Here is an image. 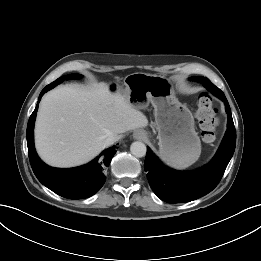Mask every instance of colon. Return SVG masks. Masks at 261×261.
Segmentation results:
<instances>
[{
  "label": "colon",
  "instance_id": "1",
  "mask_svg": "<svg viewBox=\"0 0 261 261\" xmlns=\"http://www.w3.org/2000/svg\"><path fill=\"white\" fill-rule=\"evenodd\" d=\"M196 118L203 140L206 142L214 141L218 117L212 99L207 94H201L197 99Z\"/></svg>",
  "mask_w": 261,
  "mask_h": 261
}]
</instances>
